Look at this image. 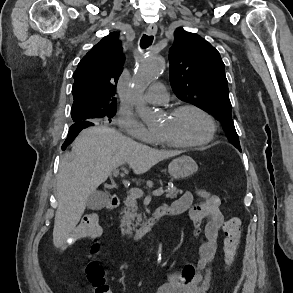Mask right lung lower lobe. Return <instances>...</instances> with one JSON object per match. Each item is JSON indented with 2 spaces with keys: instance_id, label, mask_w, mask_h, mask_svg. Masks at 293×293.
Here are the masks:
<instances>
[{
  "instance_id": "1",
  "label": "right lung lower lobe",
  "mask_w": 293,
  "mask_h": 293,
  "mask_svg": "<svg viewBox=\"0 0 293 293\" xmlns=\"http://www.w3.org/2000/svg\"><path fill=\"white\" fill-rule=\"evenodd\" d=\"M94 125V123L92 121H77L74 122V124H72L69 128V132H68V136L67 139L65 140V142L62 145V150H65L66 147L72 143V141L74 140V138L78 135V133L89 126Z\"/></svg>"
}]
</instances>
